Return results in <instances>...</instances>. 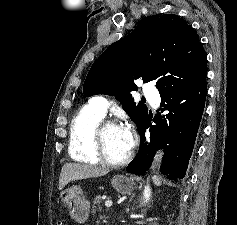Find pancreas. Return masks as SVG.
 <instances>
[{
    "label": "pancreas",
    "instance_id": "1",
    "mask_svg": "<svg viewBox=\"0 0 237 225\" xmlns=\"http://www.w3.org/2000/svg\"><path fill=\"white\" fill-rule=\"evenodd\" d=\"M101 202H102V198L100 195L96 196L93 200V205H92V209L93 211L96 210V208L101 209Z\"/></svg>",
    "mask_w": 237,
    "mask_h": 225
}]
</instances>
